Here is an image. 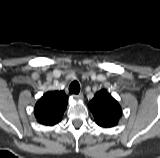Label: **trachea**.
<instances>
[{
	"label": "trachea",
	"mask_w": 160,
	"mask_h": 158,
	"mask_svg": "<svg viewBox=\"0 0 160 158\" xmlns=\"http://www.w3.org/2000/svg\"><path fill=\"white\" fill-rule=\"evenodd\" d=\"M69 92L72 94H78L80 92V84L78 81H73L69 86Z\"/></svg>",
	"instance_id": "1"
}]
</instances>
